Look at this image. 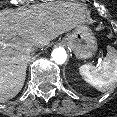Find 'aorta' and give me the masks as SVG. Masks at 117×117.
Wrapping results in <instances>:
<instances>
[{"label":"aorta","mask_w":117,"mask_h":117,"mask_svg":"<svg viewBox=\"0 0 117 117\" xmlns=\"http://www.w3.org/2000/svg\"><path fill=\"white\" fill-rule=\"evenodd\" d=\"M52 59L57 64H63L67 59V54L65 49L63 48H56L52 51Z\"/></svg>","instance_id":"1"}]
</instances>
